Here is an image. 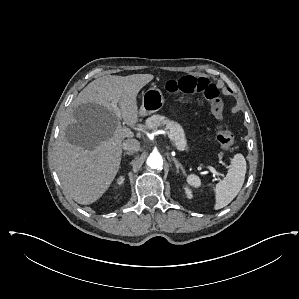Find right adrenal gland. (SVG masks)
<instances>
[{
  "mask_svg": "<svg viewBox=\"0 0 299 299\" xmlns=\"http://www.w3.org/2000/svg\"><path fill=\"white\" fill-rule=\"evenodd\" d=\"M126 155H132V153L131 152H125L123 156L125 157Z\"/></svg>",
  "mask_w": 299,
  "mask_h": 299,
  "instance_id": "right-adrenal-gland-1",
  "label": "right adrenal gland"
}]
</instances>
